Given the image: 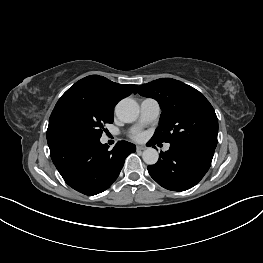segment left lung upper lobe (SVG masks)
<instances>
[{"label":"left lung upper lobe","instance_id":"5c2ea615","mask_svg":"<svg viewBox=\"0 0 263 263\" xmlns=\"http://www.w3.org/2000/svg\"><path fill=\"white\" fill-rule=\"evenodd\" d=\"M136 92L158 101L162 113L152 140L216 148L218 119L210 102L193 87L171 78L137 86Z\"/></svg>","mask_w":263,"mask_h":263}]
</instances>
